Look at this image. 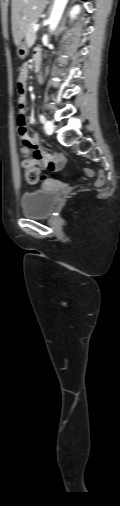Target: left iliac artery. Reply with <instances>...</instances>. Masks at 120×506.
Wrapping results in <instances>:
<instances>
[{"label":"left iliac artery","mask_w":120,"mask_h":506,"mask_svg":"<svg viewBox=\"0 0 120 506\" xmlns=\"http://www.w3.org/2000/svg\"><path fill=\"white\" fill-rule=\"evenodd\" d=\"M39 119H40L41 123H45V117H44V115L40 114L39 115Z\"/></svg>","instance_id":"left-iliac-artery-1"}]
</instances>
